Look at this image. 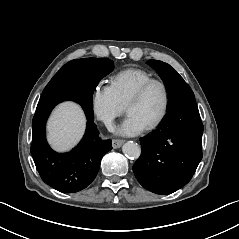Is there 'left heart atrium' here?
Returning <instances> with one entry per match:
<instances>
[{
	"mask_svg": "<svg viewBox=\"0 0 239 239\" xmlns=\"http://www.w3.org/2000/svg\"><path fill=\"white\" fill-rule=\"evenodd\" d=\"M146 128L145 124L134 114L127 115L118 132L123 135H136Z\"/></svg>",
	"mask_w": 239,
	"mask_h": 239,
	"instance_id": "left-heart-atrium-1",
	"label": "left heart atrium"
}]
</instances>
